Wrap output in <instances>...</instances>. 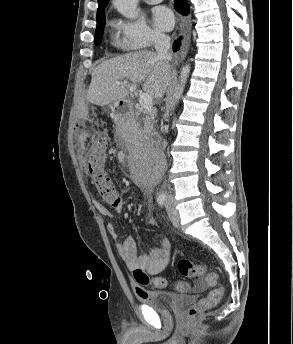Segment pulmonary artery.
Instances as JSON below:
<instances>
[{
  "instance_id": "1",
  "label": "pulmonary artery",
  "mask_w": 293,
  "mask_h": 344,
  "mask_svg": "<svg viewBox=\"0 0 293 344\" xmlns=\"http://www.w3.org/2000/svg\"><path fill=\"white\" fill-rule=\"evenodd\" d=\"M148 4H157L160 3L162 0H144Z\"/></svg>"
}]
</instances>
